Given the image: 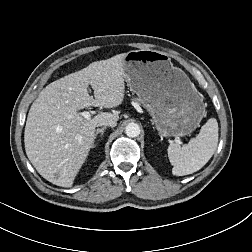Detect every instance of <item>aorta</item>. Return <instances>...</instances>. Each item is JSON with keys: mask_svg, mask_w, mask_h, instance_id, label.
Masks as SVG:
<instances>
[{"mask_svg": "<svg viewBox=\"0 0 252 252\" xmlns=\"http://www.w3.org/2000/svg\"><path fill=\"white\" fill-rule=\"evenodd\" d=\"M125 133L128 137H137L140 134V127L136 123H129L125 128Z\"/></svg>", "mask_w": 252, "mask_h": 252, "instance_id": "762f6f07", "label": "aorta"}]
</instances>
